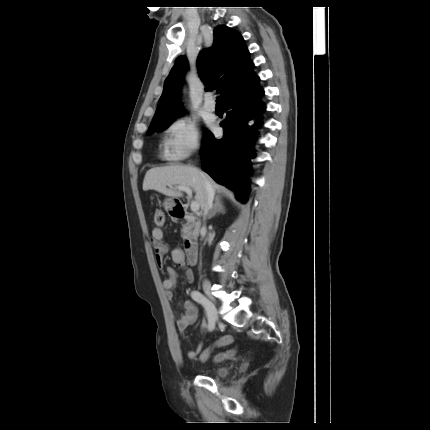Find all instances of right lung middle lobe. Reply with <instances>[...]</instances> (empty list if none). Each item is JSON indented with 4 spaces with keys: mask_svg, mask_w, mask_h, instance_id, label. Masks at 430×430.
Here are the masks:
<instances>
[{
    "mask_svg": "<svg viewBox=\"0 0 430 430\" xmlns=\"http://www.w3.org/2000/svg\"><path fill=\"white\" fill-rule=\"evenodd\" d=\"M179 115L180 114H178V115H176V116H174V117H172V118H170L168 120H165V121L156 123L154 125H151L149 127V130L147 131V133L151 134V133H153V130H156L158 132L160 130L166 129L175 120V118L178 117Z\"/></svg>",
    "mask_w": 430,
    "mask_h": 430,
    "instance_id": "1",
    "label": "right lung middle lobe"
}]
</instances>
